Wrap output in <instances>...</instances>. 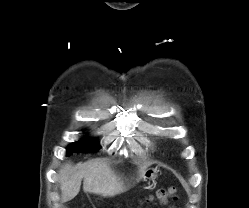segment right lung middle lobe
I'll return each instance as SVG.
<instances>
[{
  "instance_id": "right-lung-middle-lobe-1",
  "label": "right lung middle lobe",
  "mask_w": 249,
  "mask_h": 208,
  "mask_svg": "<svg viewBox=\"0 0 249 208\" xmlns=\"http://www.w3.org/2000/svg\"><path fill=\"white\" fill-rule=\"evenodd\" d=\"M100 149L94 139H84L70 144L67 148V155L73 152H96Z\"/></svg>"
}]
</instances>
